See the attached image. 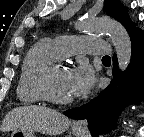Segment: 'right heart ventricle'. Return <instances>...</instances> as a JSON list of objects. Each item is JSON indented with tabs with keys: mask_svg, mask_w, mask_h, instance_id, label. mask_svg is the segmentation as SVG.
Masks as SVG:
<instances>
[{
	"mask_svg": "<svg viewBox=\"0 0 144 137\" xmlns=\"http://www.w3.org/2000/svg\"><path fill=\"white\" fill-rule=\"evenodd\" d=\"M52 42L42 40L27 52L21 67L17 84V96L27 105L40 104L45 101L38 89L41 71L58 59Z\"/></svg>",
	"mask_w": 144,
	"mask_h": 137,
	"instance_id": "e07e8e85",
	"label": "right heart ventricle"
}]
</instances>
